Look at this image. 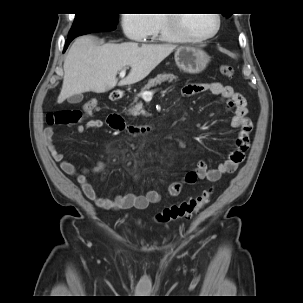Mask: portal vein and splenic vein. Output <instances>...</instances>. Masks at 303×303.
<instances>
[{"instance_id":"portal-vein-and-splenic-vein-1","label":"portal vein and splenic vein","mask_w":303,"mask_h":303,"mask_svg":"<svg viewBox=\"0 0 303 303\" xmlns=\"http://www.w3.org/2000/svg\"><path fill=\"white\" fill-rule=\"evenodd\" d=\"M126 74V68H124L121 72H120V77H124ZM154 91H144L141 93V97L144 100H150L152 99Z\"/></svg>"}]
</instances>
